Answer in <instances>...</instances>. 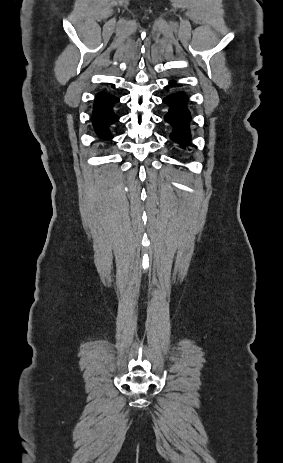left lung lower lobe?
<instances>
[{
    "label": "left lung lower lobe",
    "instance_id": "0a47b994",
    "mask_svg": "<svg viewBox=\"0 0 283 463\" xmlns=\"http://www.w3.org/2000/svg\"><path fill=\"white\" fill-rule=\"evenodd\" d=\"M170 84H175L170 81ZM163 102L169 105L170 110L164 119L175 127L171 134V139L183 146H186L190 139L189 122L190 113L186 107L187 96L184 92L173 93L163 99Z\"/></svg>",
    "mask_w": 283,
    "mask_h": 463
}]
</instances>
